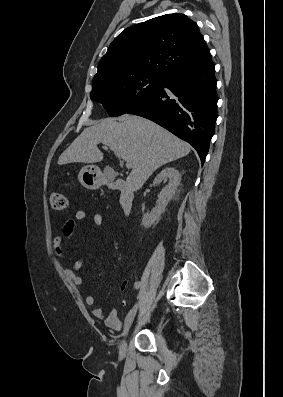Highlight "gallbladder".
I'll use <instances>...</instances> for the list:
<instances>
[{
    "label": "gallbladder",
    "instance_id": "gallbladder-1",
    "mask_svg": "<svg viewBox=\"0 0 283 397\" xmlns=\"http://www.w3.org/2000/svg\"><path fill=\"white\" fill-rule=\"evenodd\" d=\"M105 174H106L107 179H108L109 181H112V180L114 179V177H115L114 172H113L112 169H110V168H106V169H105Z\"/></svg>",
    "mask_w": 283,
    "mask_h": 397
}]
</instances>
